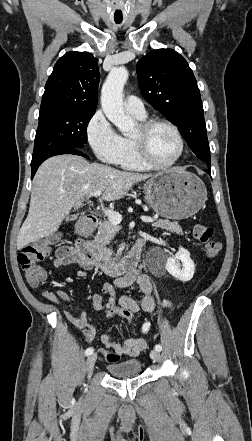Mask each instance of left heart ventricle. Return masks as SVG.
Returning a JSON list of instances; mask_svg holds the SVG:
<instances>
[{
	"label": "left heart ventricle",
	"instance_id": "obj_1",
	"mask_svg": "<svg viewBox=\"0 0 252 441\" xmlns=\"http://www.w3.org/2000/svg\"><path fill=\"white\" fill-rule=\"evenodd\" d=\"M138 134L139 127L133 136ZM146 144L151 158L156 163L171 161L179 151V143L175 134L166 126L155 127L147 136Z\"/></svg>",
	"mask_w": 252,
	"mask_h": 441
}]
</instances>
